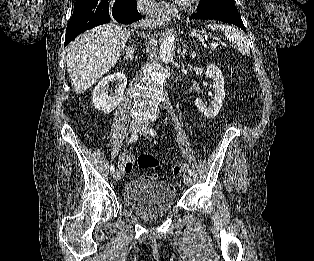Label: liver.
<instances>
[{"mask_svg": "<svg viewBox=\"0 0 314 261\" xmlns=\"http://www.w3.org/2000/svg\"><path fill=\"white\" fill-rule=\"evenodd\" d=\"M129 36V31L110 23L76 37L67 52V70L76 94L86 91L114 67Z\"/></svg>", "mask_w": 314, "mask_h": 261, "instance_id": "6515ba94", "label": "liver"}]
</instances>
